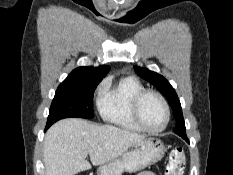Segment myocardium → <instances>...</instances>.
I'll list each match as a JSON object with an SVG mask.
<instances>
[{"instance_id": "1", "label": "myocardium", "mask_w": 233, "mask_h": 175, "mask_svg": "<svg viewBox=\"0 0 233 175\" xmlns=\"http://www.w3.org/2000/svg\"><path fill=\"white\" fill-rule=\"evenodd\" d=\"M147 95L156 96L160 100V102L163 106L164 112H165V122L158 129H151L148 126H146L144 124V122L142 121L141 116H140V105H141V102L144 99V97H146ZM131 114H132V117H133L134 121L136 122V124L142 130L149 132V133L156 134V133L162 132L163 130L166 129V127L168 126L169 121H170V108H169L167 100L160 92H158L156 90H152V89H143L135 94V96L133 97L132 102H131Z\"/></svg>"}]
</instances>
